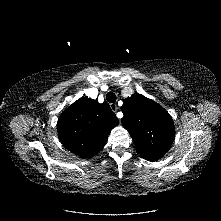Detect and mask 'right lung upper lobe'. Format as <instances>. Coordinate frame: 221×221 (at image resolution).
<instances>
[{
    "label": "right lung upper lobe",
    "mask_w": 221,
    "mask_h": 221,
    "mask_svg": "<svg viewBox=\"0 0 221 221\" xmlns=\"http://www.w3.org/2000/svg\"><path fill=\"white\" fill-rule=\"evenodd\" d=\"M119 124L109 105L83 97L65 110L57 123L60 141L72 153L91 158L106 144L111 129Z\"/></svg>",
    "instance_id": "cb5924a9"
}]
</instances>
